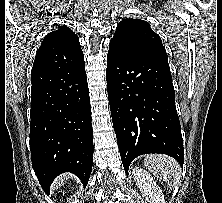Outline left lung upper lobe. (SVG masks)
Here are the masks:
<instances>
[{"instance_id": "5c2ea615", "label": "left lung upper lobe", "mask_w": 222, "mask_h": 203, "mask_svg": "<svg viewBox=\"0 0 222 203\" xmlns=\"http://www.w3.org/2000/svg\"><path fill=\"white\" fill-rule=\"evenodd\" d=\"M110 44L121 46L131 52L151 53L168 59L161 38L144 20L133 18L122 20L118 24Z\"/></svg>"}]
</instances>
